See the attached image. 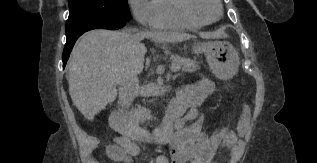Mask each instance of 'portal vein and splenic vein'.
I'll use <instances>...</instances> for the list:
<instances>
[{"label":"portal vein and splenic vein","mask_w":317,"mask_h":163,"mask_svg":"<svg viewBox=\"0 0 317 163\" xmlns=\"http://www.w3.org/2000/svg\"><path fill=\"white\" fill-rule=\"evenodd\" d=\"M179 69H180L179 66H176V65L172 66V70H174V71H178Z\"/></svg>","instance_id":"1"}]
</instances>
